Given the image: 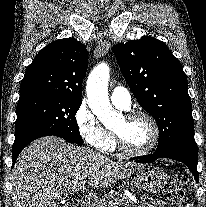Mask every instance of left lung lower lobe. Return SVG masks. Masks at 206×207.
<instances>
[{
  "label": "left lung lower lobe",
  "mask_w": 206,
  "mask_h": 207,
  "mask_svg": "<svg viewBox=\"0 0 206 207\" xmlns=\"http://www.w3.org/2000/svg\"><path fill=\"white\" fill-rule=\"evenodd\" d=\"M163 157L173 159V160H178V161L185 163L190 169V171L192 172V174L194 175L196 181L198 182L199 175L197 172V163H198L197 153L185 152V151H168V152H163V153H154V154H149V155L139 157L137 158L139 160H136V162L149 163V162H153L154 160L158 158H163Z\"/></svg>",
  "instance_id": "1"
}]
</instances>
